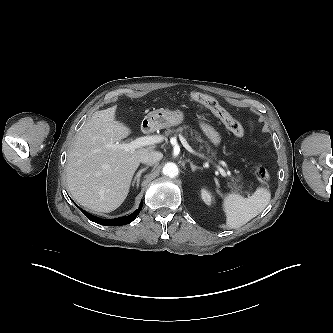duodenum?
<instances>
[{
	"label": "duodenum",
	"mask_w": 333,
	"mask_h": 333,
	"mask_svg": "<svg viewBox=\"0 0 333 333\" xmlns=\"http://www.w3.org/2000/svg\"><path fill=\"white\" fill-rule=\"evenodd\" d=\"M142 130H143V131L148 130V126H147V125H143V126H142Z\"/></svg>",
	"instance_id": "duodenum-1"
}]
</instances>
